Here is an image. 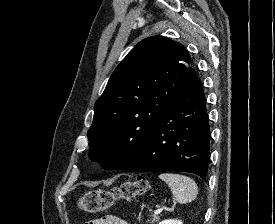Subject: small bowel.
I'll return each mask as SVG.
<instances>
[{"mask_svg": "<svg viewBox=\"0 0 275 224\" xmlns=\"http://www.w3.org/2000/svg\"><path fill=\"white\" fill-rule=\"evenodd\" d=\"M86 224H128V222L118 216L106 215L98 219L90 220Z\"/></svg>", "mask_w": 275, "mask_h": 224, "instance_id": "1", "label": "small bowel"}]
</instances>
